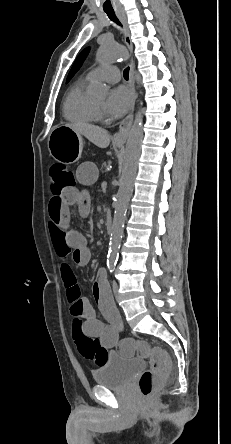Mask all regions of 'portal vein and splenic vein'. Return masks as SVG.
Instances as JSON below:
<instances>
[{"label":"portal vein and splenic vein","instance_id":"obj_1","mask_svg":"<svg viewBox=\"0 0 231 444\" xmlns=\"http://www.w3.org/2000/svg\"><path fill=\"white\" fill-rule=\"evenodd\" d=\"M107 169H108V170H110V169H111V166H110V167H108Z\"/></svg>","mask_w":231,"mask_h":444}]
</instances>
